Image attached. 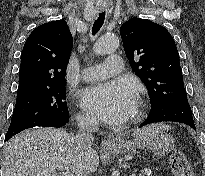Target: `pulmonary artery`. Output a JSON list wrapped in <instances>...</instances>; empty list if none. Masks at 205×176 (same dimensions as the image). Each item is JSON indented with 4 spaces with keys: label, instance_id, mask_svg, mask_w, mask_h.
I'll return each mask as SVG.
<instances>
[{
    "label": "pulmonary artery",
    "instance_id": "1",
    "mask_svg": "<svg viewBox=\"0 0 205 176\" xmlns=\"http://www.w3.org/2000/svg\"><path fill=\"white\" fill-rule=\"evenodd\" d=\"M122 72V62L120 56H110L106 63L86 67L81 72L84 81L102 80L106 77L117 75Z\"/></svg>",
    "mask_w": 205,
    "mask_h": 176
}]
</instances>
